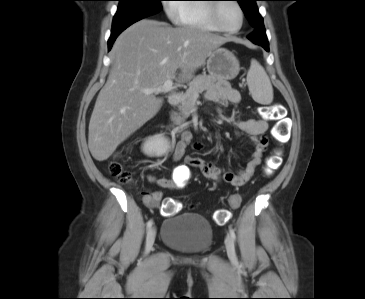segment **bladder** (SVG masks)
<instances>
[{"label": "bladder", "instance_id": "obj_1", "mask_svg": "<svg viewBox=\"0 0 365 299\" xmlns=\"http://www.w3.org/2000/svg\"><path fill=\"white\" fill-rule=\"evenodd\" d=\"M210 222L196 213H182L167 218L161 229L160 240L171 249L191 255L206 253L213 244Z\"/></svg>", "mask_w": 365, "mask_h": 299}]
</instances>
